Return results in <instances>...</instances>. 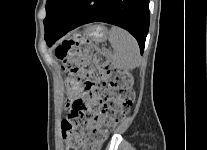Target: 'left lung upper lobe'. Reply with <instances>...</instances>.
Returning <instances> with one entry per match:
<instances>
[{
  "mask_svg": "<svg viewBox=\"0 0 207 150\" xmlns=\"http://www.w3.org/2000/svg\"><path fill=\"white\" fill-rule=\"evenodd\" d=\"M71 0H47L46 18L44 19L45 32L49 31Z\"/></svg>",
  "mask_w": 207,
  "mask_h": 150,
  "instance_id": "1",
  "label": "left lung upper lobe"
}]
</instances>
